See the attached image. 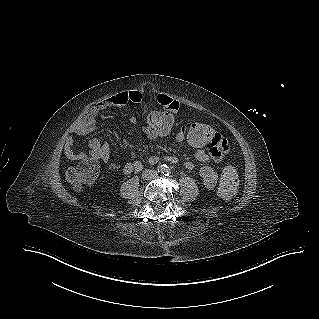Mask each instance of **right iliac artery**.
<instances>
[{"label": "right iliac artery", "mask_w": 319, "mask_h": 319, "mask_svg": "<svg viewBox=\"0 0 319 319\" xmlns=\"http://www.w3.org/2000/svg\"><path fill=\"white\" fill-rule=\"evenodd\" d=\"M166 168H167V167L164 166V165L158 166V167H157V172H158V173H164Z\"/></svg>", "instance_id": "82829eb1"}]
</instances>
